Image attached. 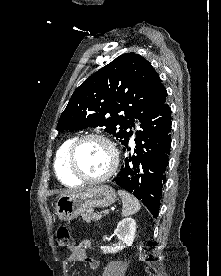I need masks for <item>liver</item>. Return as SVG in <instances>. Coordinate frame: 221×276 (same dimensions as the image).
<instances>
[{"label": "liver", "instance_id": "liver-1", "mask_svg": "<svg viewBox=\"0 0 221 276\" xmlns=\"http://www.w3.org/2000/svg\"><path fill=\"white\" fill-rule=\"evenodd\" d=\"M71 193H74V192H71V191H66V192H63V193H61L60 197H61V196H64V195L71 194Z\"/></svg>", "mask_w": 221, "mask_h": 276}]
</instances>
